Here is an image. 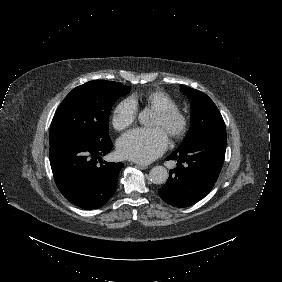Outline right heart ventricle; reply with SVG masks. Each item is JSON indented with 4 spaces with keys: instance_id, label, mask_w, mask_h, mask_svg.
I'll return each instance as SVG.
<instances>
[{
    "instance_id": "obj_1",
    "label": "right heart ventricle",
    "mask_w": 282,
    "mask_h": 282,
    "mask_svg": "<svg viewBox=\"0 0 282 282\" xmlns=\"http://www.w3.org/2000/svg\"><path fill=\"white\" fill-rule=\"evenodd\" d=\"M144 100L146 104L153 109L154 111H158L161 109H176V103L174 100L163 91H154L144 96ZM139 101L138 96L131 97L128 102L135 109L137 108Z\"/></svg>"
}]
</instances>
